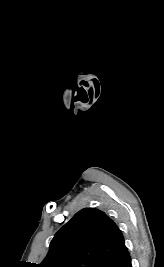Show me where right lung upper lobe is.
Instances as JSON below:
<instances>
[{
	"label": "right lung upper lobe",
	"instance_id": "right-lung-upper-lobe-1",
	"mask_svg": "<svg viewBox=\"0 0 164 267\" xmlns=\"http://www.w3.org/2000/svg\"><path fill=\"white\" fill-rule=\"evenodd\" d=\"M124 246L112 219L98 209L84 208L55 234L40 267H99Z\"/></svg>",
	"mask_w": 164,
	"mask_h": 267
}]
</instances>
